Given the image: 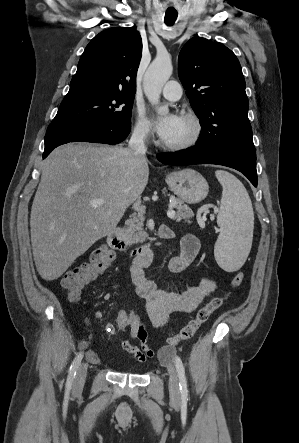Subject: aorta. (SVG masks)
<instances>
[{"mask_svg":"<svg viewBox=\"0 0 299 443\" xmlns=\"http://www.w3.org/2000/svg\"><path fill=\"white\" fill-rule=\"evenodd\" d=\"M173 67L169 56H157L148 67L144 80L143 89L149 102L157 108L159 115L169 113L168 106H159L160 94L164 84L172 75Z\"/></svg>","mask_w":299,"mask_h":443,"instance_id":"aorta-1","label":"aorta"}]
</instances>
